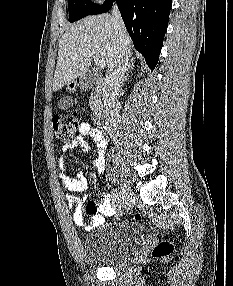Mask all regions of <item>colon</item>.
I'll return each instance as SVG.
<instances>
[{
  "label": "colon",
  "mask_w": 233,
  "mask_h": 286,
  "mask_svg": "<svg viewBox=\"0 0 233 286\" xmlns=\"http://www.w3.org/2000/svg\"><path fill=\"white\" fill-rule=\"evenodd\" d=\"M80 117L77 113H70L67 115H55L52 120L53 132L56 138L64 141L71 142L74 139L76 129L79 125ZM135 219H140L139 213L134 215ZM172 252V245L168 241L159 243L153 249V256L166 257Z\"/></svg>",
  "instance_id": "1"
}]
</instances>
